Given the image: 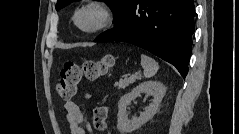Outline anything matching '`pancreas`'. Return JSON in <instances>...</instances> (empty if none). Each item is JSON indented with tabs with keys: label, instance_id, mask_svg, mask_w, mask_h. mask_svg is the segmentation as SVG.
I'll return each instance as SVG.
<instances>
[{
	"label": "pancreas",
	"instance_id": "cf45deb5",
	"mask_svg": "<svg viewBox=\"0 0 239 134\" xmlns=\"http://www.w3.org/2000/svg\"><path fill=\"white\" fill-rule=\"evenodd\" d=\"M140 75H132L129 78L120 79L119 82L114 84L118 89H125L129 85L133 84L137 79H140Z\"/></svg>",
	"mask_w": 239,
	"mask_h": 134
}]
</instances>
